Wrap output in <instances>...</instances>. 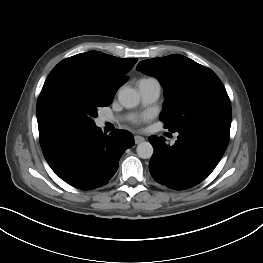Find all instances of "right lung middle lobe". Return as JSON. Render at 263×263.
Segmentation results:
<instances>
[{"mask_svg": "<svg viewBox=\"0 0 263 263\" xmlns=\"http://www.w3.org/2000/svg\"><path fill=\"white\" fill-rule=\"evenodd\" d=\"M113 96L79 75L46 79L37 101L39 136L60 130L95 127L99 107L111 104Z\"/></svg>", "mask_w": 263, "mask_h": 263, "instance_id": "right-lung-middle-lobe-1", "label": "right lung middle lobe"}]
</instances>
